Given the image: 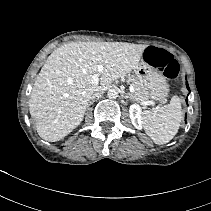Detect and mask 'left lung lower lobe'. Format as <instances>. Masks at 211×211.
<instances>
[{
    "label": "left lung lower lobe",
    "mask_w": 211,
    "mask_h": 211,
    "mask_svg": "<svg viewBox=\"0 0 211 211\" xmlns=\"http://www.w3.org/2000/svg\"><path fill=\"white\" fill-rule=\"evenodd\" d=\"M186 86H187V89L190 91L189 89V86H188V82H186ZM188 98H186V102H187Z\"/></svg>",
    "instance_id": "1"
}]
</instances>
